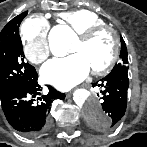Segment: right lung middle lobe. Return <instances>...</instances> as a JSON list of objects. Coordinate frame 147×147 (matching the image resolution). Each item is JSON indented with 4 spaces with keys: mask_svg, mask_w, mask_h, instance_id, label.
<instances>
[{
    "mask_svg": "<svg viewBox=\"0 0 147 147\" xmlns=\"http://www.w3.org/2000/svg\"><path fill=\"white\" fill-rule=\"evenodd\" d=\"M27 15L24 12L12 19L0 33V91L13 86L26 84L37 73L26 63L19 26Z\"/></svg>",
    "mask_w": 147,
    "mask_h": 147,
    "instance_id": "obj_1",
    "label": "right lung middle lobe"
}]
</instances>
